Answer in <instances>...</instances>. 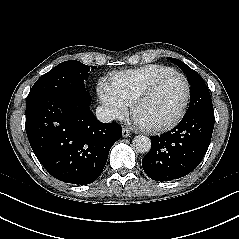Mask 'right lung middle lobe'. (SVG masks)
I'll return each instance as SVG.
<instances>
[{
    "label": "right lung middle lobe",
    "mask_w": 239,
    "mask_h": 239,
    "mask_svg": "<svg viewBox=\"0 0 239 239\" xmlns=\"http://www.w3.org/2000/svg\"><path fill=\"white\" fill-rule=\"evenodd\" d=\"M90 68L76 60L58 64L42 75L30 90L26 103L50 95L89 94L85 89L84 80L88 79Z\"/></svg>",
    "instance_id": "dd1d6c3e"
}]
</instances>
